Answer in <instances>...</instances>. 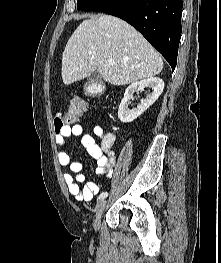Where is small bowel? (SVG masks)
<instances>
[{
	"label": "small bowel",
	"mask_w": 221,
	"mask_h": 263,
	"mask_svg": "<svg viewBox=\"0 0 221 263\" xmlns=\"http://www.w3.org/2000/svg\"><path fill=\"white\" fill-rule=\"evenodd\" d=\"M93 135L99 138V142L95 140ZM93 135L85 134L82 125L75 124L64 128L61 133H57L55 136V144L61 148L65 146L68 138L72 136L80 137L82 146L97 162V174L111 178L116 165V155L112 149L116 137L113 133L104 132L100 125L93 127ZM57 158L60 165L68 167L70 170L63 174V181L68 193L78 202H90L99 193L98 184L88 182L81 189L78 183L85 179L82 173V164L78 161H72L70 155L65 151H58Z\"/></svg>",
	"instance_id": "small-bowel-1"
}]
</instances>
